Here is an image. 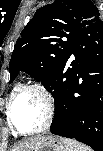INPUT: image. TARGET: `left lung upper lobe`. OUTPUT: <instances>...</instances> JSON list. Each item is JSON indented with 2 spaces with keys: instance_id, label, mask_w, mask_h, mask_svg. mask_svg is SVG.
<instances>
[{
  "instance_id": "5c2ea615",
  "label": "left lung upper lobe",
  "mask_w": 103,
  "mask_h": 151,
  "mask_svg": "<svg viewBox=\"0 0 103 151\" xmlns=\"http://www.w3.org/2000/svg\"><path fill=\"white\" fill-rule=\"evenodd\" d=\"M99 15L90 0H55L38 9L14 47L9 63L10 82L21 70L46 86L79 35L89 26L103 25Z\"/></svg>"
}]
</instances>
